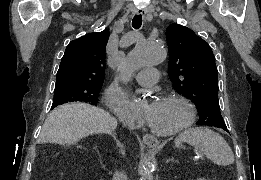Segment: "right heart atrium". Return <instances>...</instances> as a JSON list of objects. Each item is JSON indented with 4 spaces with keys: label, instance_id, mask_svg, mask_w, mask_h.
Instances as JSON below:
<instances>
[{
    "label": "right heart atrium",
    "instance_id": "1",
    "mask_svg": "<svg viewBox=\"0 0 261 180\" xmlns=\"http://www.w3.org/2000/svg\"><path fill=\"white\" fill-rule=\"evenodd\" d=\"M102 102L106 108H112V112L118 114V117L131 119L128 105H125V98H120V94L112 86L105 89Z\"/></svg>",
    "mask_w": 261,
    "mask_h": 180
}]
</instances>
